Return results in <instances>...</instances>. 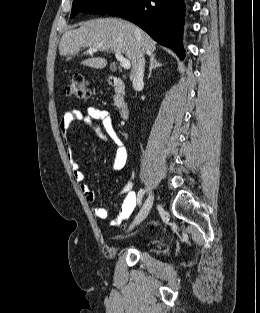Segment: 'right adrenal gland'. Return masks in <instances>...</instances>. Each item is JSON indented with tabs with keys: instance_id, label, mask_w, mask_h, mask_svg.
I'll list each match as a JSON object with an SVG mask.
<instances>
[{
	"instance_id": "obj_1",
	"label": "right adrenal gland",
	"mask_w": 260,
	"mask_h": 313,
	"mask_svg": "<svg viewBox=\"0 0 260 313\" xmlns=\"http://www.w3.org/2000/svg\"><path fill=\"white\" fill-rule=\"evenodd\" d=\"M160 66H162V63L157 61L156 54L150 55V67H149L147 78L149 79L151 77V73L153 69H156L157 67H160Z\"/></svg>"
}]
</instances>
